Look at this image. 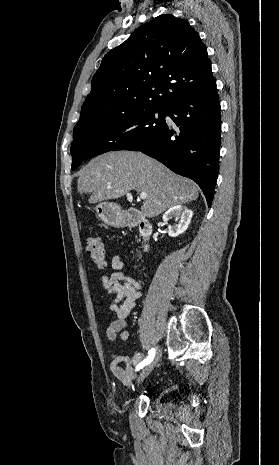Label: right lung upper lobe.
Listing matches in <instances>:
<instances>
[{"instance_id": "obj_1", "label": "right lung upper lobe", "mask_w": 279, "mask_h": 465, "mask_svg": "<svg viewBox=\"0 0 279 465\" xmlns=\"http://www.w3.org/2000/svg\"><path fill=\"white\" fill-rule=\"evenodd\" d=\"M212 78L199 34L186 20L160 15L104 56L76 126L101 125L146 108L166 109Z\"/></svg>"}]
</instances>
